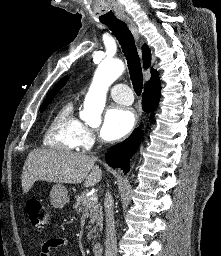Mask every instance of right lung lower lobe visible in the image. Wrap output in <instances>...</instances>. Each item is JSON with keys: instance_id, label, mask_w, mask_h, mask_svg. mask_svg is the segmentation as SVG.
<instances>
[{"instance_id": "right-lung-lower-lobe-1", "label": "right lung lower lobe", "mask_w": 221, "mask_h": 256, "mask_svg": "<svg viewBox=\"0 0 221 256\" xmlns=\"http://www.w3.org/2000/svg\"><path fill=\"white\" fill-rule=\"evenodd\" d=\"M160 99V86L144 88L142 107L146 112L154 111ZM143 136L140 127L136 128L132 134L123 142L112 146L106 153V162L112 168H121L124 172L129 171V159L135 153Z\"/></svg>"}]
</instances>
